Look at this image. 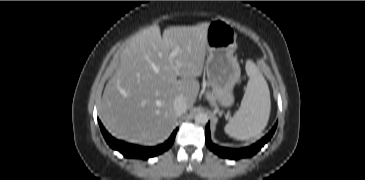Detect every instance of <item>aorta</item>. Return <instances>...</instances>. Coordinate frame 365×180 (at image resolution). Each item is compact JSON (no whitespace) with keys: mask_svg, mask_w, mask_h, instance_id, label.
I'll return each mask as SVG.
<instances>
[{"mask_svg":"<svg viewBox=\"0 0 365 180\" xmlns=\"http://www.w3.org/2000/svg\"><path fill=\"white\" fill-rule=\"evenodd\" d=\"M195 123L205 125L208 122V115L206 113H199L194 117Z\"/></svg>","mask_w":365,"mask_h":180,"instance_id":"aorta-1","label":"aorta"}]
</instances>
